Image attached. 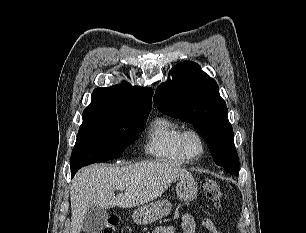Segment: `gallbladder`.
<instances>
[{"label": "gallbladder", "instance_id": "1", "mask_svg": "<svg viewBox=\"0 0 306 233\" xmlns=\"http://www.w3.org/2000/svg\"><path fill=\"white\" fill-rule=\"evenodd\" d=\"M108 212L106 209L93 206L84 214L82 229L85 233H99L106 225Z\"/></svg>", "mask_w": 306, "mask_h": 233}]
</instances>
